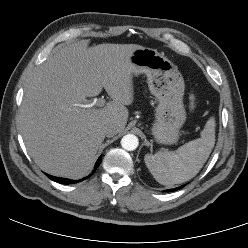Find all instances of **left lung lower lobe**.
<instances>
[{
  "mask_svg": "<svg viewBox=\"0 0 248 248\" xmlns=\"http://www.w3.org/2000/svg\"><path fill=\"white\" fill-rule=\"evenodd\" d=\"M182 187H183V186L178 187V188H175V189H169L168 191H169V192H173V191L178 190V189H180V188H182Z\"/></svg>",
  "mask_w": 248,
  "mask_h": 248,
  "instance_id": "0a47b994",
  "label": "left lung lower lobe"
}]
</instances>
